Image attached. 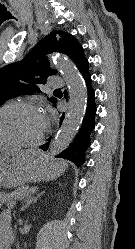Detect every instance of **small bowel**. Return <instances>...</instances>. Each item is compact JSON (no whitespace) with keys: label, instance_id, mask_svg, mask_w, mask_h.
I'll list each match as a JSON object with an SVG mask.
<instances>
[{"label":"small bowel","instance_id":"small-bowel-1","mask_svg":"<svg viewBox=\"0 0 135 249\" xmlns=\"http://www.w3.org/2000/svg\"><path fill=\"white\" fill-rule=\"evenodd\" d=\"M10 237H12L11 213L9 210H5L0 214V249H3V244Z\"/></svg>","mask_w":135,"mask_h":249}]
</instances>
